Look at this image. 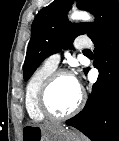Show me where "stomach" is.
I'll use <instances>...</instances> for the list:
<instances>
[{
  "mask_svg": "<svg viewBox=\"0 0 119 141\" xmlns=\"http://www.w3.org/2000/svg\"><path fill=\"white\" fill-rule=\"evenodd\" d=\"M21 141H83L78 133L60 128H45L39 125H25L21 132Z\"/></svg>",
  "mask_w": 119,
  "mask_h": 141,
  "instance_id": "stomach-1",
  "label": "stomach"
}]
</instances>
